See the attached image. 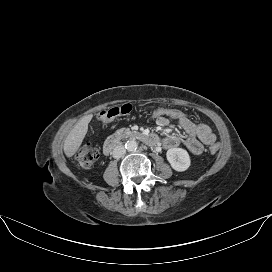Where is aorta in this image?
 Returning a JSON list of instances; mask_svg holds the SVG:
<instances>
[{"instance_id":"aorta-1","label":"aorta","mask_w":272,"mask_h":272,"mask_svg":"<svg viewBox=\"0 0 272 272\" xmlns=\"http://www.w3.org/2000/svg\"><path fill=\"white\" fill-rule=\"evenodd\" d=\"M125 148L130 151V152H133V151H136L137 148H138V144L135 140H128L126 143H125Z\"/></svg>"}]
</instances>
